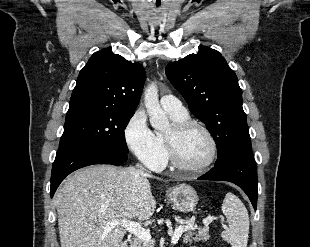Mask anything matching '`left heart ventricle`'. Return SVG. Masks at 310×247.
Segmentation results:
<instances>
[{
  "instance_id": "obj_1",
  "label": "left heart ventricle",
  "mask_w": 310,
  "mask_h": 247,
  "mask_svg": "<svg viewBox=\"0 0 310 247\" xmlns=\"http://www.w3.org/2000/svg\"><path fill=\"white\" fill-rule=\"evenodd\" d=\"M172 128L167 131V135ZM180 160L187 166L198 167L205 163L211 154V145L207 136L199 129H192L177 139Z\"/></svg>"
}]
</instances>
